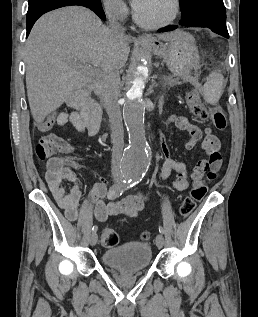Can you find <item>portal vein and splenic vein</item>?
<instances>
[{
	"instance_id": "obj_1",
	"label": "portal vein and splenic vein",
	"mask_w": 258,
	"mask_h": 317,
	"mask_svg": "<svg viewBox=\"0 0 258 317\" xmlns=\"http://www.w3.org/2000/svg\"><path fill=\"white\" fill-rule=\"evenodd\" d=\"M76 62L78 64L79 68H81V70H82V68H83L82 62H78V60H76ZM88 68H89L88 72H90V74H97V72H99V68H97V64H94V66H88Z\"/></svg>"
}]
</instances>
